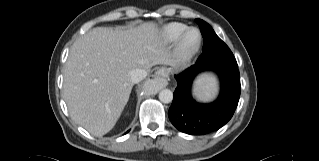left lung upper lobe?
Here are the masks:
<instances>
[{"label": "left lung upper lobe", "instance_id": "obj_1", "mask_svg": "<svg viewBox=\"0 0 319 161\" xmlns=\"http://www.w3.org/2000/svg\"><path fill=\"white\" fill-rule=\"evenodd\" d=\"M202 33L203 52L197 60L199 64L213 62L237 63L229 47L216 35L212 27L201 19H196Z\"/></svg>", "mask_w": 319, "mask_h": 161}]
</instances>
